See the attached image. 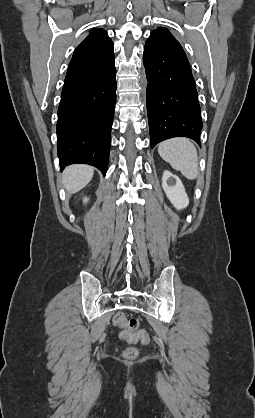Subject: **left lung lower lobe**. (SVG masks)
<instances>
[{
    "label": "left lung lower lobe",
    "instance_id": "1",
    "mask_svg": "<svg viewBox=\"0 0 255 418\" xmlns=\"http://www.w3.org/2000/svg\"><path fill=\"white\" fill-rule=\"evenodd\" d=\"M143 63L151 148L172 137L200 143L203 124L198 93L187 56L178 43L147 40Z\"/></svg>",
    "mask_w": 255,
    "mask_h": 418
}]
</instances>
